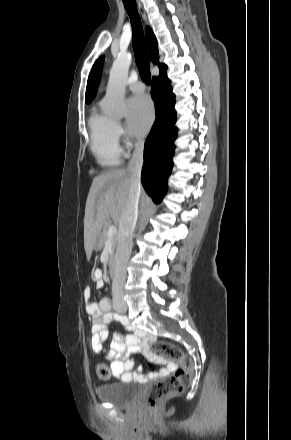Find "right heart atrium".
Segmentation results:
<instances>
[{"label":"right heart atrium","mask_w":291,"mask_h":440,"mask_svg":"<svg viewBox=\"0 0 291 440\" xmlns=\"http://www.w3.org/2000/svg\"><path fill=\"white\" fill-rule=\"evenodd\" d=\"M115 134H116V138H117L118 144H120L122 141H125V143L127 145L130 144V141L128 140V138H127V136H126L122 126L119 123H116Z\"/></svg>","instance_id":"obj_1"}]
</instances>
